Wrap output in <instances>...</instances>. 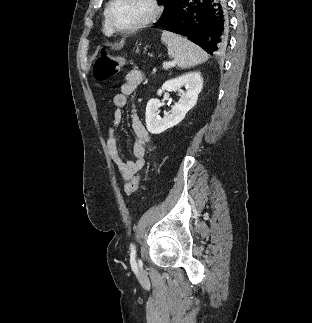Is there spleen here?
<instances>
[{"mask_svg": "<svg viewBox=\"0 0 312 323\" xmlns=\"http://www.w3.org/2000/svg\"><path fill=\"white\" fill-rule=\"evenodd\" d=\"M161 40L163 44H167L169 58H173L174 64L182 70L203 64L208 60V54L202 48H199L193 42H189L187 38H181L179 34L163 30Z\"/></svg>", "mask_w": 312, "mask_h": 323, "instance_id": "3e777b00", "label": "spleen"}]
</instances>
